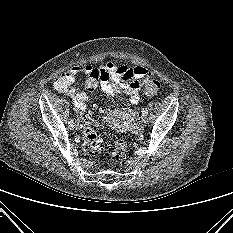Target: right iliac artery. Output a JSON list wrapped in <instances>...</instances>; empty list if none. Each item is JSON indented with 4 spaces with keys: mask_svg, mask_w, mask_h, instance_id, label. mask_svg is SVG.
Here are the masks:
<instances>
[{
    "mask_svg": "<svg viewBox=\"0 0 233 233\" xmlns=\"http://www.w3.org/2000/svg\"><path fill=\"white\" fill-rule=\"evenodd\" d=\"M69 128L70 129L74 128V119H70V121H69Z\"/></svg>",
    "mask_w": 233,
    "mask_h": 233,
    "instance_id": "82829eb1",
    "label": "right iliac artery"
}]
</instances>
